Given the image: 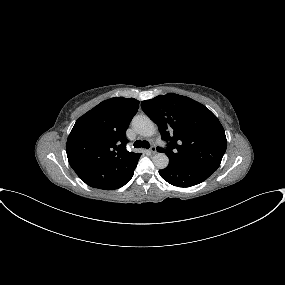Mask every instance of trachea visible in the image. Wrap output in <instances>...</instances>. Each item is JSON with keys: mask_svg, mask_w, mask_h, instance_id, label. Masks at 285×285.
I'll return each mask as SVG.
<instances>
[{"mask_svg": "<svg viewBox=\"0 0 285 285\" xmlns=\"http://www.w3.org/2000/svg\"><path fill=\"white\" fill-rule=\"evenodd\" d=\"M134 147L135 148H150V144H149V142L148 141H141V140H136L135 142H134Z\"/></svg>", "mask_w": 285, "mask_h": 285, "instance_id": "trachea-1", "label": "trachea"}]
</instances>
